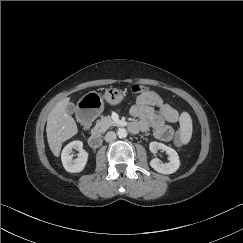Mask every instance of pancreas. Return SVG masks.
I'll use <instances>...</instances> for the list:
<instances>
[{
  "label": "pancreas",
  "mask_w": 243,
  "mask_h": 243,
  "mask_svg": "<svg viewBox=\"0 0 243 243\" xmlns=\"http://www.w3.org/2000/svg\"><path fill=\"white\" fill-rule=\"evenodd\" d=\"M114 125H116V123L111 119L110 116H104L97 122L96 126L94 127V130L99 133H104L111 126Z\"/></svg>",
  "instance_id": "obj_1"
}]
</instances>
